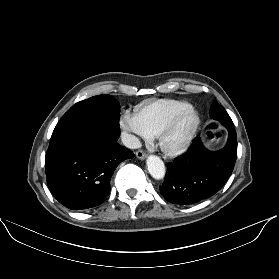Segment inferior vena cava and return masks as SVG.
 <instances>
[{
  "label": "inferior vena cava",
  "mask_w": 279,
  "mask_h": 279,
  "mask_svg": "<svg viewBox=\"0 0 279 279\" xmlns=\"http://www.w3.org/2000/svg\"><path fill=\"white\" fill-rule=\"evenodd\" d=\"M122 143L129 149H138L141 147L140 140L131 134L123 133L121 136Z\"/></svg>",
  "instance_id": "602c4592"
}]
</instances>
